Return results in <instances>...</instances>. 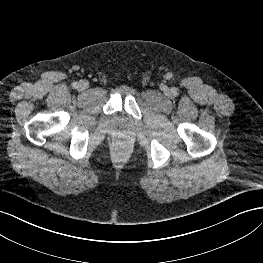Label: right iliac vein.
I'll return each instance as SVG.
<instances>
[{"instance_id":"right-iliac-vein-1","label":"right iliac vein","mask_w":263,"mask_h":263,"mask_svg":"<svg viewBox=\"0 0 263 263\" xmlns=\"http://www.w3.org/2000/svg\"><path fill=\"white\" fill-rule=\"evenodd\" d=\"M89 87V82L87 80H81L78 83V89L83 91L86 90Z\"/></svg>"}]
</instances>
